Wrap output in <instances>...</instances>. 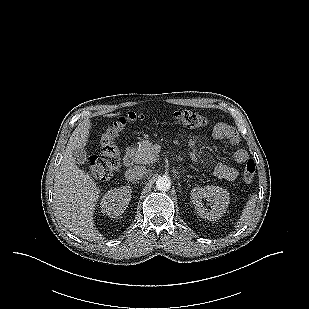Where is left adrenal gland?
<instances>
[{"label":"left adrenal gland","mask_w":309,"mask_h":309,"mask_svg":"<svg viewBox=\"0 0 309 309\" xmlns=\"http://www.w3.org/2000/svg\"><path fill=\"white\" fill-rule=\"evenodd\" d=\"M187 177H188V178H192V176H190V175H187Z\"/></svg>","instance_id":"1"}]
</instances>
